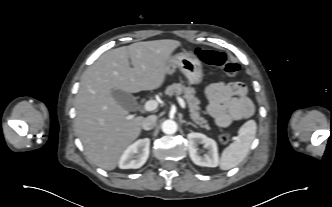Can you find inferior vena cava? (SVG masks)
I'll return each mask as SVG.
<instances>
[{
  "instance_id": "obj_1",
  "label": "inferior vena cava",
  "mask_w": 332,
  "mask_h": 207,
  "mask_svg": "<svg viewBox=\"0 0 332 207\" xmlns=\"http://www.w3.org/2000/svg\"><path fill=\"white\" fill-rule=\"evenodd\" d=\"M156 120H157V116H155V115H150V116L146 117L142 122V128L144 130L153 129L154 126L156 125Z\"/></svg>"
}]
</instances>
